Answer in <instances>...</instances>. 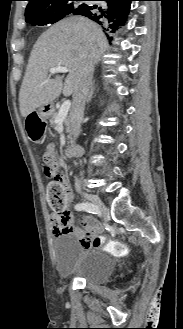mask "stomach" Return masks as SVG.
Here are the masks:
<instances>
[{
	"label": "stomach",
	"mask_w": 183,
	"mask_h": 329,
	"mask_svg": "<svg viewBox=\"0 0 183 329\" xmlns=\"http://www.w3.org/2000/svg\"><path fill=\"white\" fill-rule=\"evenodd\" d=\"M54 112V104L53 103H47L40 107L38 111V115L42 118H47L51 116Z\"/></svg>",
	"instance_id": "0dacf381"
}]
</instances>
